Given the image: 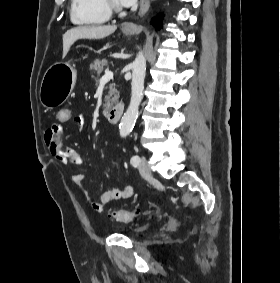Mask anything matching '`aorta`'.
Listing matches in <instances>:
<instances>
[{
	"instance_id": "aorta-1",
	"label": "aorta",
	"mask_w": 280,
	"mask_h": 283,
	"mask_svg": "<svg viewBox=\"0 0 280 283\" xmlns=\"http://www.w3.org/2000/svg\"><path fill=\"white\" fill-rule=\"evenodd\" d=\"M145 73L146 56L143 52H140L132 64L131 100L119 125L121 137L130 134L137 120L139 105L143 98Z\"/></svg>"
}]
</instances>
